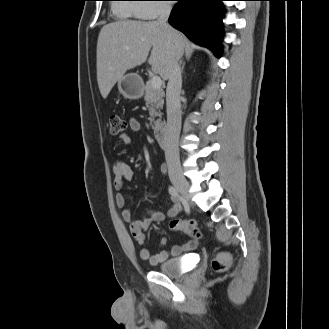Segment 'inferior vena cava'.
<instances>
[{
	"mask_svg": "<svg viewBox=\"0 0 329 329\" xmlns=\"http://www.w3.org/2000/svg\"><path fill=\"white\" fill-rule=\"evenodd\" d=\"M171 5L162 4L157 23L170 31L168 17ZM179 59L172 64L169 81L166 88L167 127L165 137V157L168 166V174L171 179L181 175L180 159L178 152V140L181 130V103L180 91L182 87V75Z\"/></svg>",
	"mask_w": 329,
	"mask_h": 329,
	"instance_id": "1",
	"label": "inferior vena cava"
}]
</instances>
